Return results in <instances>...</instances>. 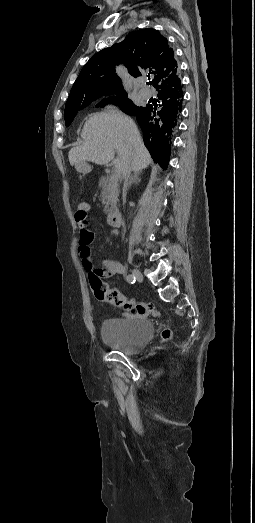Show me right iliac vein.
Segmentation results:
<instances>
[{"label":"right iliac vein","mask_w":255,"mask_h":523,"mask_svg":"<svg viewBox=\"0 0 255 523\" xmlns=\"http://www.w3.org/2000/svg\"><path fill=\"white\" fill-rule=\"evenodd\" d=\"M133 275L139 282L143 281V275L137 268L133 269Z\"/></svg>","instance_id":"right-iliac-vein-1"}]
</instances>
